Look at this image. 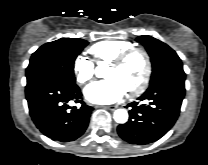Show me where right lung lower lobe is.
<instances>
[{
    "instance_id": "right-lung-lower-lobe-1",
    "label": "right lung lower lobe",
    "mask_w": 208,
    "mask_h": 165,
    "mask_svg": "<svg viewBox=\"0 0 208 165\" xmlns=\"http://www.w3.org/2000/svg\"><path fill=\"white\" fill-rule=\"evenodd\" d=\"M25 93L32 120L52 140L73 141L87 129L93 108L81 100L76 84L44 79L27 86ZM71 100L81 103L80 108L69 107Z\"/></svg>"
}]
</instances>
